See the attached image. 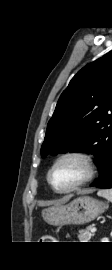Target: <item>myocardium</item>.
<instances>
[{"instance_id": "obj_1", "label": "myocardium", "mask_w": 112, "mask_h": 270, "mask_svg": "<svg viewBox=\"0 0 112 270\" xmlns=\"http://www.w3.org/2000/svg\"><path fill=\"white\" fill-rule=\"evenodd\" d=\"M67 159H76L79 160L85 167V176L78 181L77 183L73 184L72 186L66 188V189H58L54 186L51 180V176L53 171L56 169V167L64 160ZM97 164L95 161V158L88 152L80 151V150H71L61 153L59 156L56 157V159L53 161L52 165L50 166L48 172H47V182L52 188V190L58 194H68L72 193L90 182H92L96 175H97Z\"/></svg>"}]
</instances>
